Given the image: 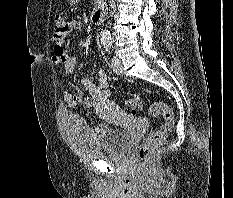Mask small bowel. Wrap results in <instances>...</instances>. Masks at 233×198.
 I'll list each match as a JSON object with an SVG mask.
<instances>
[{"label":"small bowel","instance_id":"1","mask_svg":"<svg viewBox=\"0 0 233 198\" xmlns=\"http://www.w3.org/2000/svg\"><path fill=\"white\" fill-rule=\"evenodd\" d=\"M82 28L83 25L80 21L72 20L65 22L64 28L61 31H54L52 36L53 64L68 76L75 72L78 61L65 52L63 48L64 40L71 32L80 31ZM80 85L88 93V96L83 95L79 86L73 85L74 91L66 90L63 93L67 105L70 107L78 105L95 107L97 113L101 116L118 115V109L109 101L108 77L104 69H98L96 83L84 77L80 80Z\"/></svg>","mask_w":233,"mask_h":198}]
</instances>
